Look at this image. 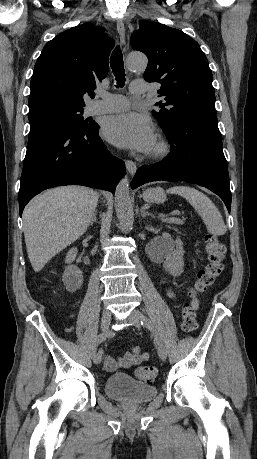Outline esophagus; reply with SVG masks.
Returning a JSON list of instances; mask_svg holds the SVG:
<instances>
[{"instance_id": "obj_1", "label": "esophagus", "mask_w": 257, "mask_h": 459, "mask_svg": "<svg viewBox=\"0 0 257 459\" xmlns=\"http://www.w3.org/2000/svg\"><path fill=\"white\" fill-rule=\"evenodd\" d=\"M116 27H117V31H118V34H119V37H120V41H121L122 45L125 46V26H124L123 21L120 20V19L117 20ZM125 165H126L127 171L131 175H134L136 170H137L136 163L134 161H132V160H126L125 161Z\"/></svg>"}]
</instances>
